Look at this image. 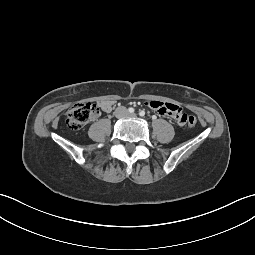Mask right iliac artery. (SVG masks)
Masks as SVG:
<instances>
[{
    "instance_id": "82829eb1",
    "label": "right iliac artery",
    "mask_w": 255,
    "mask_h": 255,
    "mask_svg": "<svg viewBox=\"0 0 255 255\" xmlns=\"http://www.w3.org/2000/svg\"><path fill=\"white\" fill-rule=\"evenodd\" d=\"M128 112L129 113H134V108H132V107L128 108Z\"/></svg>"
}]
</instances>
